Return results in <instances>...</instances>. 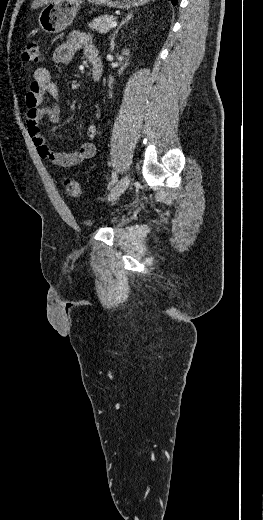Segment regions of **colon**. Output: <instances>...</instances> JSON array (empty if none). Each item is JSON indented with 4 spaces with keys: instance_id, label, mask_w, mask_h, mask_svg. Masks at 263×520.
<instances>
[{
    "instance_id": "colon-1",
    "label": "colon",
    "mask_w": 263,
    "mask_h": 520,
    "mask_svg": "<svg viewBox=\"0 0 263 520\" xmlns=\"http://www.w3.org/2000/svg\"><path fill=\"white\" fill-rule=\"evenodd\" d=\"M23 59L29 62H38L40 59L39 46L36 41H29L23 52ZM64 187L68 196L77 198L81 195V186L77 179L67 177L64 180Z\"/></svg>"
}]
</instances>
